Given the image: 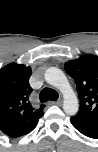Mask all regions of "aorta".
I'll list each match as a JSON object with an SVG mask.
<instances>
[{"instance_id": "aorta-1", "label": "aorta", "mask_w": 98, "mask_h": 152, "mask_svg": "<svg viewBox=\"0 0 98 152\" xmlns=\"http://www.w3.org/2000/svg\"><path fill=\"white\" fill-rule=\"evenodd\" d=\"M48 84L57 88L63 95V110L68 115H75L78 111V99L66 75L57 67H50L45 72Z\"/></svg>"}]
</instances>
